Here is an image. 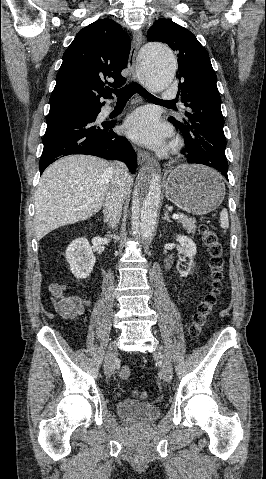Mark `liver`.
Instances as JSON below:
<instances>
[{
	"instance_id": "obj_1",
	"label": "liver",
	"mask_w": 266,
	"mask_h": 479,
	"mask_svg": "<svg viewBox=\"0 0 266 479\" xmlns=\"http://www.w3.org/2000/svg\"><path fill=\"white\" fill-rule=\"evenodd\" d=\"M109 162L91 155H71L50 165L35 194L34 228L41 240L51 231L99 212L111 181ZM133 183L129 177L126 195ZM93 202L88 203L87 199Z\"/></svg>"
}]
</instances>
